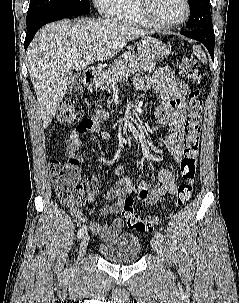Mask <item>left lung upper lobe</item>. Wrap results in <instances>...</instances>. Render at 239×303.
<instances>
[{
  "mask_svg": "<svg viewBox=\"0 0 239 303\" xmlns=\"http://www.w3.org/2000/svg\"><path fill=\"white\" fill-rule=\"evenodd\" d=\"M190 17L186 24L187 28L213 29L209 0H189Z\"/></svg>",
  "mask_w": 239,
  "mask_h": 303,
  "instance_id": "obj_1",
  "label": "left lung upper lobe"
}]
</instances>
